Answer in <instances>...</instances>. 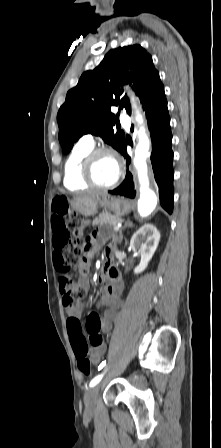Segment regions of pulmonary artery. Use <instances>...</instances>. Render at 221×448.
<instances>
[{"label":"pulmonary artery","instance_id":"pulmonary-artery-1","mask_svg":"<svg viewBox=\"0 0 221 448\" xmlns=\"http://www.w3.org/2000/svg\"><path fill=\"white\" fill-rule=\"evenodd\" d=\"M120 120L125 126L129 127V119L125 113L120 112ZM80 142L90 146H94L95 144L94 138L90 134L83 135Z\"/></svg>","mask_w":221,"mask_h":448}]
</instances>
